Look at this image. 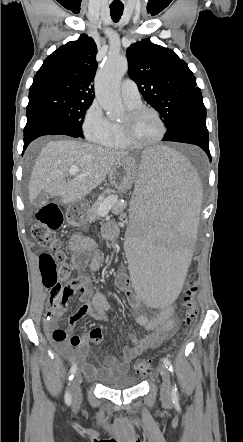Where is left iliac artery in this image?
<instances>
[{"label":"left iliac artery","instance_id":"left-iliac-artery-1","mask_svg":"<svg viewBox=\"0 0 243 442\" xmlns=\"http://www.w3.org/2000/svg\"><path fill=\"white\" fill-rule=\"evenodd\" d=\"M163 363H164L165 367L170 372L173 371L172 364H171V362H170V360L168 358H163ZM172 398H173V400H177L178 399V389H177L176 385H174L173 388H172Z\"/></svg>","mask_w":243,"mask_h":442}]
</instances>
